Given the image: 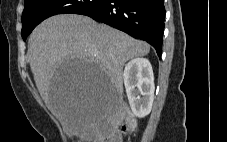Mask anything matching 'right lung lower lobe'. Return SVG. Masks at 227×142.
<instances>
[{
  "instance_id": "98d812e1",
  "label": "right lung lower lobe",
  "mask_w": 227,
  "mask_h": 142,
  "mask_svg": "<svg viewBox=\"0 0 227 142\" xmlns=\"http://www.w3.org/2000/svg\"><path fill=\"white\" fill-rule=\"evenodd\" d=\"M151 44L161 57L165 7L163 0H105L80 13Z\"/></svg>"
}]
</instances>
